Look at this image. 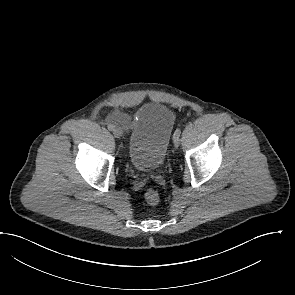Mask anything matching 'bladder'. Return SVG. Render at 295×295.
I'll list each match as a JSON object with an SVG mask.
<instances>
[{
	"instance_id": "bladder-1",
	"label": "bladder",
	"mask_w": 295,
	"mask_h": 295,
	"mask_svg": "<svg viewBox=\"0 0 295 295\" xmlns=\"http://www.w3.org/2000/svg\"><path fill=\"white\" fill-rule=\"evenodd\" d=\"M175 121L165 104L150 102L141 106L129 133V158L140 171L158 170L165 159Z\"/></svg>"
}]
</instances>
